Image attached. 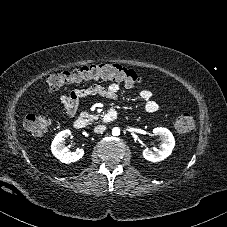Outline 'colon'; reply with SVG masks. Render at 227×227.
I'll return each mask as SVG.
<instances>
[{"instance_id": "5ec220e1", "label": "colon", "mask_w": 227, "mask_h": 227, "mask_svg": "<svg viewBox=\"0 0 227 227\" xmlns=\"http://www.w3.org/2000/svg\"><path fill=\"white\" fill-rule=\"evenodd\" d=\"M97 79H113L126 86H135L142 82V78L132 69L116 63H99L50 74L46 78V84L49 89L58 90ZM50 123V118L44 115L28 114L24 118L26 129L33 135L46 132ZM193 125L194 120L189 113L180 114L174 121V128L180 133L190 131Z\"/></svg>"}]
</instances>
